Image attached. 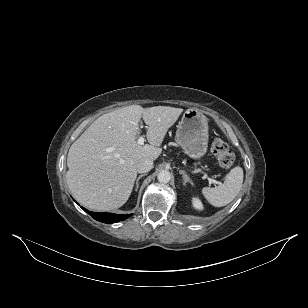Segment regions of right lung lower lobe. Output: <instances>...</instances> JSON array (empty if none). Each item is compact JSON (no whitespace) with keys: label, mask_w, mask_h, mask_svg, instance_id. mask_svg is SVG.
Wrapping results in <instances>:
<instances>
[{"label":"right lung lower lobe","mask_w":308,"mask_h":308,"mask_svg":"<svg viewBox=\"0 0 308 308\" xmlns=\"http://www.w3.org/2000/svg\"><path fill=\"white\" fill-rule=\"evenodd\" d=\"M81 208L85 210L87 213H89L95 220L103 222V223H115L118 221L125 220L131 216V214L116 215V214H110V213H95V212H89L87 209L83 207Z\"/></svg>","instance_id":"98d812e1"}]
</instances>
